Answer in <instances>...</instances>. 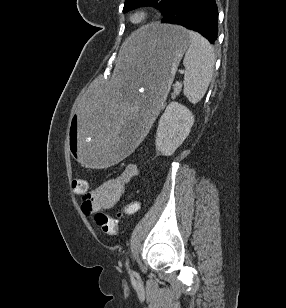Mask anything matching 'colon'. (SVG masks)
<instances>
[{"mask_svg": "<svg viewBox=\"0 0 286 308\" xmlns=\"http://www.w3.org/2000/svg\"><path fill=\"white\" fill-rule=\"evenodd\" d=\"M72 188L76 193H85L88 190L87 183L83 179H74L72 182ZM138 208L139 203L133 201L123 208V213L133 214L138 210ZM95 221L103 233L112 236L118 234L119 226L114 218L106 215L105 213L98 212L95 215Z\"/></svg>", "mask_w": 286, "mask_h": 308, "instance_id": "5ec220e1", "label": "colon"}]
</instances>
